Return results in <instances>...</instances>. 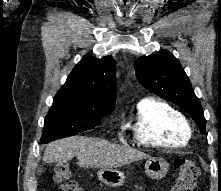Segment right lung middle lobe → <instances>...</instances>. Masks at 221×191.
Returning a JSON list of instances; mask_svg holds the SVG:
<instances>
[{
	"mask_svg": "<svg viewBox=\"0 0 221 191\" xmlns=\"http://www.w3.org/2000/svg\"><path fill=\"white\" fill-rule=\"evenodd\" d=\"M110 112L75 106H52L44 120L41 142L48 143L93 129Z\"/></svg>",
	"mask_w": 221,
	"mask_h": 191,
	"instance_id": "right-lung-middle-lobe-1",
	"label": "right lung middle lobe"
}]
</instances>
